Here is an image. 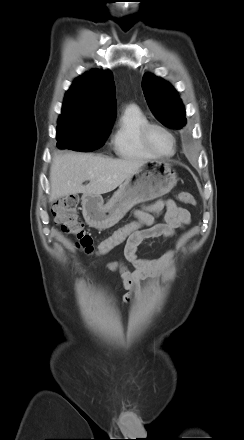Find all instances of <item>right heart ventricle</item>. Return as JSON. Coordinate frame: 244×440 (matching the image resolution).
I'll use <instances>...</instances> for the list:
<instances>
[{"mask_svg": "<svg viewBox=\"0 0 244 440\" xmlns=\"http://www.w3.org/2000/svg\"><path fill=\"white\" fill-rule=\"evenodd\" d=\"M147 123L146 115L135 106L122 111L112 135V146L118 156L129 159L154 157L143 147L139 138L140 129Z\"/></svg>", "mask_w": 244, "mask_h": 440, "instance_id": "1", "label": "right heart ventricle"}]
</instances>
